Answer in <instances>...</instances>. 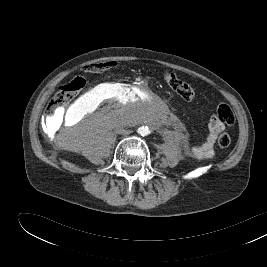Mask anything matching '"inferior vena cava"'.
Here are the masks:
<instances>
[{"label": "inferior vena cava", "instance_id": "602c4592", "mask_svg": "<svg viewBox=\"0 0 267 267\" xmlns=\"http://www.w3.org/2000/svg\"><path fill=\"white\" fill-rule=\"evenodd\" d=\"M124 133H125V134H129L130 132H129V131H125Z\"/></svg>", "mask_w": 267, "mask_h": 267}]
</instances>
